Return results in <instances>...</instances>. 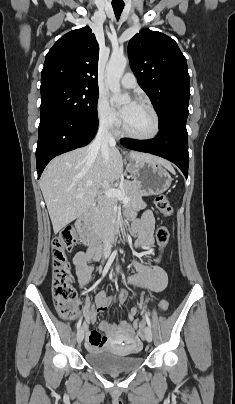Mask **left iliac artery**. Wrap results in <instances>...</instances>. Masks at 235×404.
Listing matches in <instances>:
<instances>
[{
    "mask_svg": "<svg viewBox=\"0 0 235 404\" xmlns=\"http://www.w3.org/2000/svg\"><path fill=\"white\" fill-rule=\"evenodd\" d=\"M145 318H146V322H147L148 326L151 328V321H150L147 313H145Z\"/></svg>",
    "mask_w": 235,
    "mask_h": 404,
    "instance_id": "obj_1",
    "label": "left iliac artery"
}]
</instances>
